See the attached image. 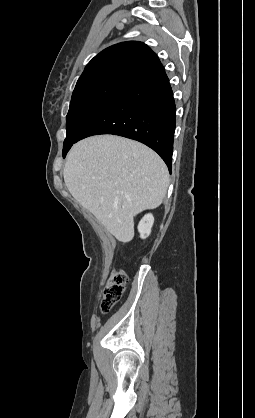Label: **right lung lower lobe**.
Returning <instances> with one entry per match:
<instances>
[{
	"label": "right lung lower lobe",
	"instance_id": "obj_1",
	"mask_svg": "<svg viewBox=\"0 0 255 418\" xmlns=\"http://www.w3.org/2000/svg\"><path fill=\"white\" fill-rule=\"evenodd\" d=\"M176 106L164 71L133 83L114 95L89 121L77 139L63 149L66 156L77 141L114 134L149 146L171 172Z\"/></svg>",
	"mask_w": 255,
	"mask_h": 418
}]
</instances>
